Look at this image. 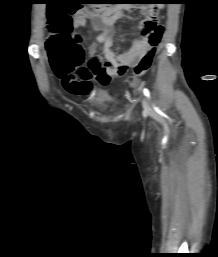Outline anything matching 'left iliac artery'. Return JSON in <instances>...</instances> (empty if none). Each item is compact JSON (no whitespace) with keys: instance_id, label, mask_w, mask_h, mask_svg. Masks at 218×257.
<instances>
[{"instance_id":"44dca946","label":"left iliac artery","mask_w":218,"mask_h":257,"mask_svg":"<svg viewBox=\"0 0 218 257\" xmlns=\"http://www.w3.org/2000/svg\"><path fill=\"white\" fill-rule=\"evenodd\" d=\"M143 93H144V95H145L148 99H150V92H149V90H148L147 88H144V89H143Z\"/></svg>"}]
</instances>
